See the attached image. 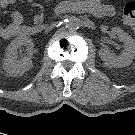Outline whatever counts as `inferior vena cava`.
I'll list each match as a JSON object with an SVG mask.
<instances>
[{
	"label": "inferior vena cava",
	"mask_w": 135,
	"mask_h": 135,
	"mask_svg": "<svg viewBox=\"0 0 135 135\" xmlns=\"http://www.w3.org/2000/svg\"><path fill=\"white\" fill-rule=\"evenodd\" d=\"M53 27H55V24H51L49 27L46 28V32L50 31L53 29Z\"/></svg>",
	"instance_id": "1"
}]
</instances>
